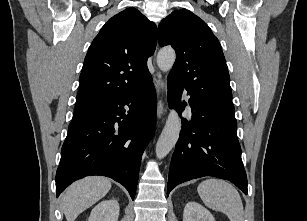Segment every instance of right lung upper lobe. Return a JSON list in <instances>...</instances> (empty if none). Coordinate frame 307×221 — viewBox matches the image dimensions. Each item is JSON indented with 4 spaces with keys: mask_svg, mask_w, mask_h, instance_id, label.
<instances>
[{
    "mask_svg": "<svg viewBox=\"0 0 307 221\" xmlns=\"http://www.w3.org/2000/svg\"><path fill=\"white\" fill-rule=\"evenodd\" d=\"M157 44L156 25L135 8L106 22L93 40L80 74L76 107L100 106L140 89Z\"/></svg>",
    "mask_w": 307,
    "mask_h": 221,
    "instance_id": "obj_1",
    "label": "right lung upper lobe"
}]
</instances>
